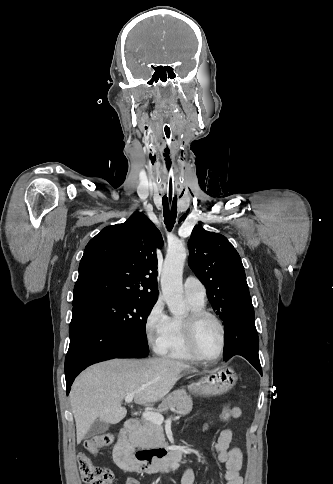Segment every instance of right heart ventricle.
I'll return each mask as SVG.
<instances>
[{
  "mask_svg": "<svg viewBox=\"0 0 333 484\" xmlns=\"http://www.w3.org/2000/svg\"><path fill=\"white\" fill-rule=\"evenodd\" d=\"M190 311L202 310L205 307L204 302H198L187 298ZM184 317H169L168 328L160 354L164 357L182 361L195 362L197 359L189 351L184 337L183 329Z\"/></svg>",
  "mask_w": 333,
  "mask_h": 484,
  "instance_id": "1",
  "label": "right heart ventricle"
}]
</instances>
